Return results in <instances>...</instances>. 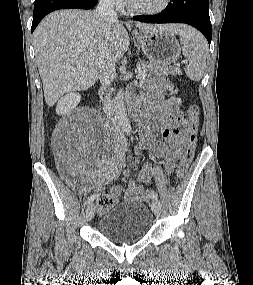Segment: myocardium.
I'll return each mask as SVG.
<instances>
[{
	"instance_id": "obj_1",
	"label": "myocardium",
	"mask_w": 253,
	"mask_h": 285,
	"mask_svg": "<svg viewBox=\"0 0 253 285\" xmlns=\"http://www.w3.org/2000/svg\"><path fill=\"white\" fill-rule=\"evenodd\" d=\"M171 4V0H164L163 4L154 9H141L133 6L131 0H127L128 10L137 15H156L165 11Z\"/></svg>"
}]
</instances>
